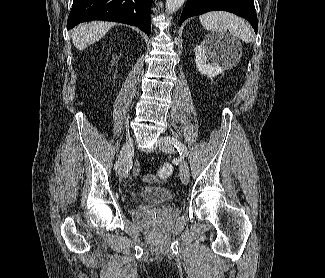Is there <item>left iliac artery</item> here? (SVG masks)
<instances>
[{
    "label": "left iliac artery",
    "mask_w": 325,
    "mask_h": 278,
    "mask_svg": "<svg viewBox=\"0 0 325 278\" xmlns=\"http://www.w3.org/2000/svg\"><path fill=\"white\" fill-rule=\"evenodd\" d=\"M165 140L167 142L172 143L174 145V147L177 148L180 155H183V156L188 155V150H187L186 146L184 144H182L180 141H178L177 139H174L173 137L169 136V137H166Z\"/></svg>",
    "instance_id": "1"
}]
</instances>
